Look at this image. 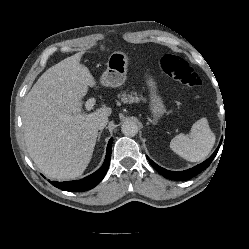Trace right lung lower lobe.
<instances>
[{
  "label": "right lung lower lobe",
  "instance_id": "1",
  "mask_svg": "<svg viewBox=\"0 0 249 249\" xmlns=\"http://www.w3.org/2000/svg\"><path fill=\"white\" fill-rule=\"evenodd\" d=\"M112 142H113V139L111 138L108 142L105 161L103 165L95 173L81 180L66 181V182L51 181V184L57 188H60L61 190L72 191V192L87 191V190L94 188L97 184L100 183V181L103 179V177L105 176L108 170L110 158H111Z\"/></svg>",
  "mask_w": 249,
  "mask_h": 249
}]
</instances>
